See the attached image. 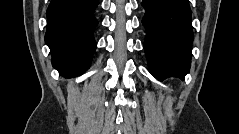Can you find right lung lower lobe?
<instances>
[{"instance_id":"obj_1","label":"right lung lower lobe","mask_w":239,"mask_h":134,"mask_svg":"<svg viewBox=\"0 0 239 134\" xmlns=\"http://www.w3.org/2000/svg\"><path fill=\"white\" fill-rule=\"evenodd\" d=\"M98 0H51L46 15L45 42L52 65L63 76L81 75L90 66L96 48L94 11Z\"/></svg>"}]
</instances>
